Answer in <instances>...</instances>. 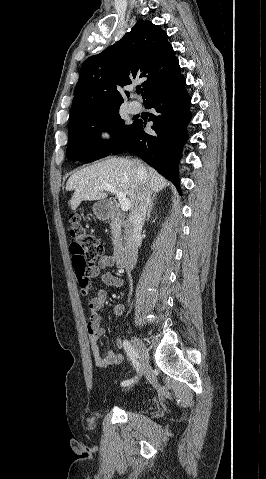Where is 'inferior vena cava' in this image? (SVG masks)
Masks as SVG:
<instances>
[{
  "label": "inferior vena cava",
  "mask_w": 266,
  "mask_h": 479,
  "mask_svg": "<svg viewBox=\"0 0 266 479\" xmlns=\"http://www.w3.org/2000/svg\"><path fill=\"white\" fill-rule=\"evenodd\" d=\"M137 171L140 176V185L136 201L131 208L129 219L124 228V252L126 256V266L129 270H132L137 262L138 247L141 242V231L151 201L150 184L146 178L142 177L145 173L144 166L139 163Z\"/></svg>",
  "instance_id": "inferior-vena-cava-1"
}]
</instances>
